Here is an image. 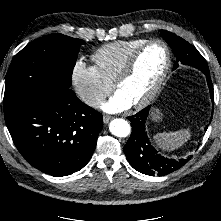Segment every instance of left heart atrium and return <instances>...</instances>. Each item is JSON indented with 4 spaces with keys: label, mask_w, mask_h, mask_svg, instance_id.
Here are the masks:
<instances>
[{
    "label": "left heart atrium",
    "mask_w": 221,
    "mask_h": 221,
    "mask_svg": "<svg viewBox=\"0 0 221 221\" xmlns=\"http://www.w3.org/2000/svg\"><path fill=\"white\" fill-rule=\"evenodd\" d=\"M131 105L132 102L120 91H117L108 102L102 105V108L107 112H119L129 108Z\"/></svg>",
    "instance_id": "left-heart-atrium-1"
}]
</instances>
